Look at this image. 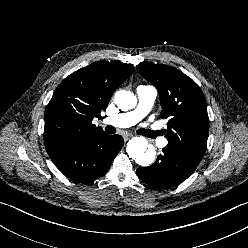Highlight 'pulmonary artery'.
Masks as SVG:
<instances>
[{
	"mask_svg": "<svg viewBox=\"0 0 248 248\" xmlns=\"http://www.w3.org/2000/svg\"><path fill=\"white\" fill-rule=\"evenodd\" d=\"M138 106L136 109L126 113H120L112 117L103 119L104 124L114 127H130L142 120L151 110L157 97V90L153 86H139L137 88ZM161 146L167 145V140L160 141Z\"/></svg>",
	"mask_w": 248,
	"mask_h": 248,
	"instance_id": "e3ab8cb5",
	"label": "pulmonary artery"
}]
</instances>
